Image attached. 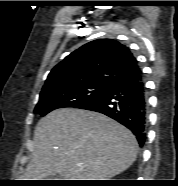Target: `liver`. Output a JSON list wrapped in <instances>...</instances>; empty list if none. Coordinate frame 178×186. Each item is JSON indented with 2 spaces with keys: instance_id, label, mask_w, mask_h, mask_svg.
<instances>
[{
  "instance_id": "obj_1",
  "label": "liver",
  "mask_w": 178,
  "mask_h": 186,
  "mask_svg": "<svg viewBox=\"0 0 178 186\" xmlns=\"http://www.w3.org/2000/svg\"><path fill=\"white\" fill-rule=\"evenodd\" d=\"M138 143L130 130L97 112L57 109L37 123L25 180H109L136 160Z\"/></svg>"
}]
</instances>
